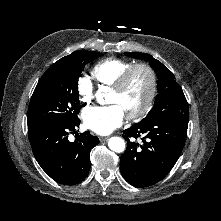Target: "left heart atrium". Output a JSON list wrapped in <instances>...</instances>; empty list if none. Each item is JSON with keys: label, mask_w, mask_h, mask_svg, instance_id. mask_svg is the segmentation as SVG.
<instances>
[{"label": "left heart atrium", "mask_w": 221, "mask_h": 221, "mask_svg": "<svg viewBox=\"0 0 221 221\" xmlns=\"http://www.w3.org/2000/svg\"><path fill=\"white\" fill-rule=\"evenodd\" d=\"M125 119V111L119 104L94 106L83 113L85 126L100 135L111 133L120 127Z\"/></svg>", "instance_id": "39dd6f15"}]
</instances>
